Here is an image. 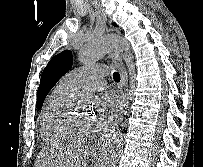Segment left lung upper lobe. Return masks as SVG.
<instances>
[{
	"label": "left lung upper lobe",
	"mask_w": 203,
	"mask_h": 167,
	"mask_svg": "<svg viewBox=\"0 0 203 167\" xmlns=\"http://www.w3.org/2000/svg\"><path fill=\"white\" fill-rule=\"evenodd\" d=\"M72 53L65 50L53 57L42 72L40 85L37 91V109L42 107L46 95L58 80L71 68Z\"/></svg>",
	"instance_id": "obj_1"
}]
</instances>
